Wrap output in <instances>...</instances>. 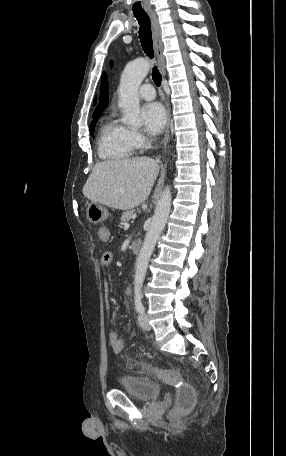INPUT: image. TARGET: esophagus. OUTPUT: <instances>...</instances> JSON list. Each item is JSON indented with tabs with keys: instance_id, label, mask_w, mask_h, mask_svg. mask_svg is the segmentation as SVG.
<instances>
[{
	"instance_id": "34e87169",
	"label": "esophagus",
	"mask_w": 286,
	"mask_h": 456,
	"mask_svg": "<svg viewBox=\"0 0 286 456\" xmlns=\"http://www.w3.org/2000/svg\"><path fill=\"white\" fill-rule=\"evenodd\" d=\"M148 15L151 20L154 50H155V53H156V56L158 59L161 75L164 78L166 75V63H165V57L163 54V44L161 41V30H160L159 21H158V18L154 11H149ZM163 100L165 103L166 114H167V124H166V129H165V135L163 138V147L166 148V146L168 145V142H169V129H170L171 113H170L169 103L166 100L165 96H163Z\"/></svg>"
}]
</instances>
